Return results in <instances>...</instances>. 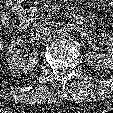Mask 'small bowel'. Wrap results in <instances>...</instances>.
I'll return each instance as SVG.
<instances>
[{
  "label": "small bowel",
  "mask_w": 113,
  "mask_h": 113,
  "mask_svg": "<svg viewBox=\"0 0 113 113\" xmlns=\"http://www.w3.org/2000/svg\"><path fill=\"white\" fill-rule=\"evenodd\" d=\"M109 4L113 7V0H109Z\"/></svg>",
  "instance_id": "1"
}]
</instances>
